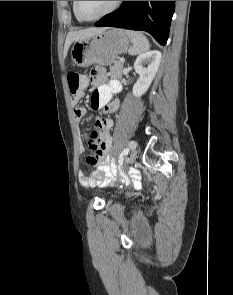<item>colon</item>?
Returning a JSON list of instances; mask_svg holds the SVG:
<instances>
[{"mask_svg":"<svg viewBox=\"0 0 233 295\" xmlns=\"http://www.w3.org/2000/svg\"><path fill=\"white\" fill-rule=\"evenodd\" d=\"M67 79L72 95L83 92L89 85V80L85 76L77 72H69L67 75ZM87 142L89 151L91 152V154L87 157V160L89 163L94 164L100 157L102 151L101 136L98 130H94L89 134Z\"/></svg>","mask_w":233,"mask_h":295,"instance_id":"obj_1","label":"colon"}]
</instances>
